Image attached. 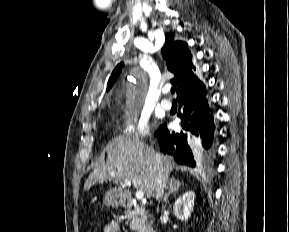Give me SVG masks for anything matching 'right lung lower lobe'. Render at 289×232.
I'll list each match as a JSON object with an SVG mask.
<instances>
[{
	"label": "right lung lower lobe",
	"mask_w": 289,
	"mask_h": 232,
	"mask_svg": "<svg viewBox=\"0 0 289 232\" xmlns=\"http://www.w3.org/2000/svg\"><path fill=\"white\" fill-rule=\"evenodd\" d=\"M206 93L205 90L178 100L183 108V114L178 116L185 132H169L165 125L156 132L161 151L179 164L195 167L215 148V123Z\"/></svg>",
	"instance_id": "1"
}]
</instances>
